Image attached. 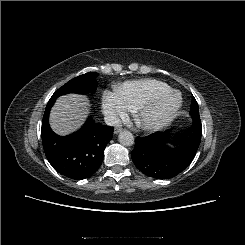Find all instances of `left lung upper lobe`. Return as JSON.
I'll use <instances>...</instances> for the list:
<instances>
[{
	"mask_svg": "<svg viewBox=\"0 0 245 245\" xmlns=\"http://www.w3.org/2000/svg\"><path fill=\"white\" fill-rule=\"evenodd\" d=\"M190 114H191V117L193 119V125H192L193 128L202 129L198 103H197L196 99L194 98V96L192 97Z\"/></svg>",
	"mask_w": 245,
	"mask_h": 245,
	"instance_id": "1",
	"label": "left lung upper lobe"
}]
</instances>
